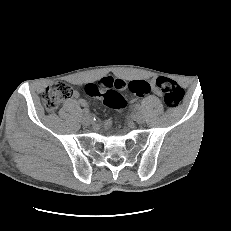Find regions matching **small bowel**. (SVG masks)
I'll list each match as a JSON object with an SVG mask.
<instances>
[{"instance_id": "small-bowel-1", "label": "small bowel", "mask_w": 231, "mask_h": 231, "mask_svg": "<svg viewBox=\"0 0 231 231\" xmlns=\"http://www.w3.org/2000/svg\"><path fill=\"white\" fill-rule=\"evenodd\" d=\"M150 90L156 95H161L160 90L158 89V87L154 83H152L150 85ZM74 97L76 98V101L80 106H85L86 105V102L83 99L79 98V93L78 92L74 93ZM111 125H112L111 121H108L107 124H106L107 127H110Z\"/></svg>"}]
</instances>
